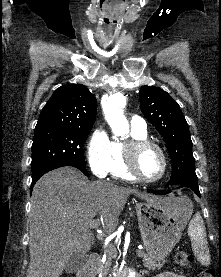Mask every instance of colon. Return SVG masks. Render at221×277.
I'll return each instance as SVG.
<instances>
[{"instance_id": "colon-1", "label": "colon", "mask_w": 221, "mask_h": 277, "mask_svg": "<svg viewBox=\"0 0 221 277\" xmlns=\"http://www.w3.org/2000/svg\"><path fill=\"white\" fill-rule=\"evenodd\" d=\"M175 262L179 267L189 268L193 264V257L185 251H179L175 255ZM198 277H216V273L213 269H205L200 272Z\"/></svg>"}]
</instances>
